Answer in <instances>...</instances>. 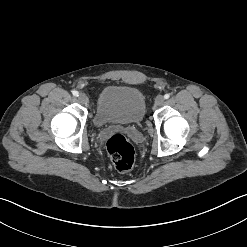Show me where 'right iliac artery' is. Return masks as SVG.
<instances>
[{
	"label": "right iliac artery",
	"mask_w": 247,
	"mask_h": 247,
	"mask_svg": "<svg viewBox=\"0 0 247 247\" xmlns=\"http://www.w3.org/2000/svg\"><path fill=\"white\" fill-rule=\"evenodd\" d=\"M72 94H73L74 96H78V91L74 90V91H72Z\"/></svg>",
	"instance_id": "right-iliac-artery-1"
}]
</instances>
